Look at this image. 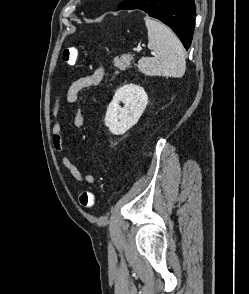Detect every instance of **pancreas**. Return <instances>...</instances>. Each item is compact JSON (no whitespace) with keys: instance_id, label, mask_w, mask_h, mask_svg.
I'll return each instance as SVG.
<instances>
[{"instance_id":"cf45deb5","label":"pancreas","mask_w":249,"mask_h":294,"mask_svg":"<svg viewBox=\"0 0 249 294\" xmlns=\"http://www.w3.org/2000/svg\"><path fill=\"white\" fill-rule=\"evenodd\" d=\"M130 61V55H122L120 59L114 58L113 63L116 68L120 69L121 71H125L127 68L131 67ZM115 74H118V71H116Z\"/></svg>"}]
</instances>
